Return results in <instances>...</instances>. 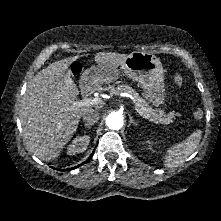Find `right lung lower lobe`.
Wrapping results in <instances>:
<instances>
[{
	"instance_id": "obj_1",
	"label": "right lung lower lobe",
	"mask_w": 221,
	"mask_h": 221,
	"mask_svg": "<svg viewBox=\"0 0 221 221\" xmlns=\"http://www.w3.org/2000/svg\"><path fill=\"white\" fill-rule=\"evenodd\" d=\"M93 154H94V152L91 154V156H90V157H89L87 160L91 159V158H92V156H93ZM84 163H86V161H85V162H83L82 164H84ZM82 164H80V165H78V166L74 167L73 169H75V168H77V167L81 166ZM66 170H71V169H66ZM66 170H65V171H66Z\"/></svg>"
}]
</instances>
